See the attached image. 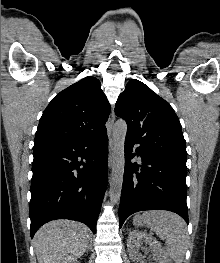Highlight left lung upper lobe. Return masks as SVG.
<instances>
[{
	"mask_svg": "<svg viewBox=\"0 0 220 263\" xmlns=\"http://www.w3.org/2000/svg\"><path fill=\"white\" fill-rule=\"evenodd\" d=\"M115 113L127 122L126 138L186 166L180 121L170 104L143 82L132 79L120 94Z\"/></svg>",
	"mask_w": 220,
	"mask_h": 263,
	"instance_id": "1",
	"label": "left lung upper lobe"
}]
</instances>
